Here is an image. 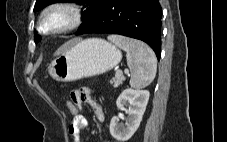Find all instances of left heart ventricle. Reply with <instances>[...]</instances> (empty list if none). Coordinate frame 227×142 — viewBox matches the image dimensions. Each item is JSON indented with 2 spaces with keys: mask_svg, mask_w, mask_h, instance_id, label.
I'll list each match as a JSON object with an SVG mask.
<instances>
[{
  "mask_svg": "<svg viewBox=\"0 0 227 142\" xmlns=\"http://www.w3.org/2000/svg\"><path fill=\"white\" fill-rule=\"evenodd\" d=\"M67 22L66 14L62 12H55L49 15L45 22L46 29H54L63 26Z\"/></svg>",
  "mask_w": 227,
  "mask_h": 142,
  "instance_id": "obj_1",
  "label": "left heart ventricle"
}]
</instances>
